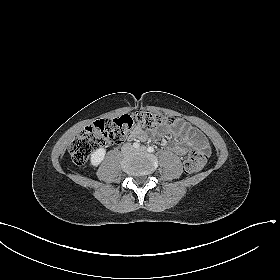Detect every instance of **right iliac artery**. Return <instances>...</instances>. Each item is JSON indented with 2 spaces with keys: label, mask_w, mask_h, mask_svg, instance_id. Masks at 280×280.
I'll return each mask as SVG.
<instances>
[{
  "label": "right iliac artery",
  "mask_w": 280,
  "mask_h": 280,
  "mask_svg": "<svg viewBox=\"0 0 280 280\" xmlns=\"http://www.w3.org/2000/svg\"><path fill=\"white\" fill-rule=\"evenodd\" d=\"M133 147L135 149H138L140 147V144L138 142L133 143Z\"/></svg>",
  "instance_id": "82829eb1"
}]
</instances>
